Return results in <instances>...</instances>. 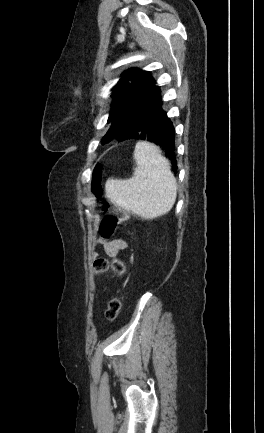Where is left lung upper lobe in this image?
Listing matches in <instances>:
<instances>
[{"label":"left lung upper lobe","mask_w":264,"mask_h":433,"mask_svg":"<svg viewBox=\"0 0 264 433\" xmlns=\"http://www.w3.org/2000/svg\"><path fill=\"white\" fill-rule=\"evenodd\" d=\"M155 82L147 71L137 68L129 69L122 74V78L113 88V102L108 118V123L112 125L103 137L105 143L113 138L123 141L128 139L127 129H125L120 120L126 111L135 103V101Z\"/></svg>","instance_id":"obj_1"}]
</instances>
